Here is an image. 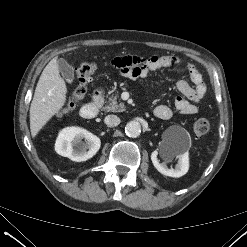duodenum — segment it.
Instances as JSON below:
<instances>
[{"mask_svg": "<svg viewBox=\"0 0 247 247\" xmlns=\"http://www.w3.org/2000/svg\"><path fill=\"white\" fill-rule=\"evenodd\" d=\"M103 91L102 89H96L93 93L92 101L85 104L81 110L80 115L84 119H93L100 108Z\"/></svg>", "mask_w": 247, "mask_h": 247, "instance_id": "obj_1", "label": "duodenum"}]
</instances>
